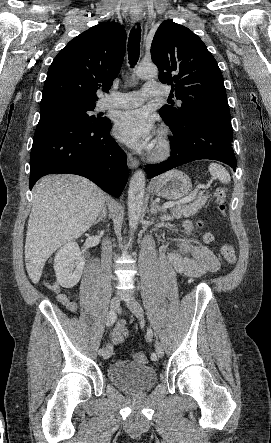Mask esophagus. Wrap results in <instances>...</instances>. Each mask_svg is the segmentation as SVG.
Instances as JSON below:
<instances>
[{"label":"esophagus","instance_id":"1","mask_svg":"<svg viewBox=\"0 0 271 443\" xmlns=\"http://www.w3.org/2000/svg\"><path fill=\"white\" fill-rule=\"evenodd\" d=\"M130 18L132 23L141 22L142 15H130ZM127 162H128V167L132 170L137 168L139 165V161L137 160V158L132 156L131 153L127 154Z\"/></svg>","mask_w":271,"mask_h":443}]
</instances>
